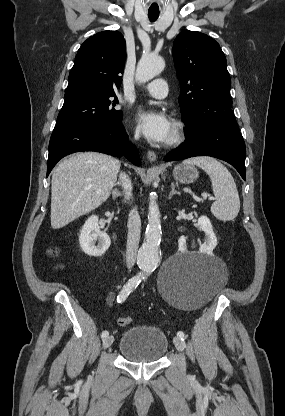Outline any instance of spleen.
<instances>
[{
    "mask_svg": "<svg viewBox=\"0 0 285 416\" xmlns=\"http://www.w3.org/2000/svg\"><path fill=\"white\" fill-rule=\"evenodd\" d=\"M186 166H199L208 174L216 202L211 206V212L217 220L230 222L239 214L240 198L236 184L227 168L209 156L189 158L184 160Z\"/></svg>",
    "mask_w": 285,
    "mask_h": 416,
    "instance_id": "3e777b00",
    "label": "spleen"
}]
</instances>
